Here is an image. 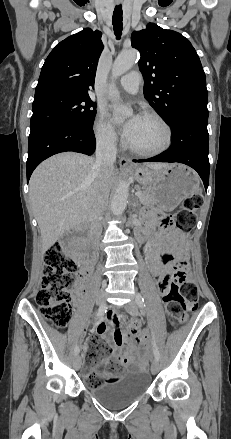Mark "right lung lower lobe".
I'll return each mask as SVG.
<instances>
[{
  "mask_svg": "<svg viewBox=\"0 0 231 439\" xmlns=\"http://www.w3.org/2000/svg\"><path fill=\"white\" fill-rule=\"evenodd\" d=\"M95 147L93 127L78 123L60 122L30 133L26 163L27 181L34 169L48 157L65 151L92 155Z\"/></svg>",
  "mask_w": 231,
  "mask_h": 439,
  "instance_id": "1",
  "label": "right lung lower lobe"
}]
</instances>
